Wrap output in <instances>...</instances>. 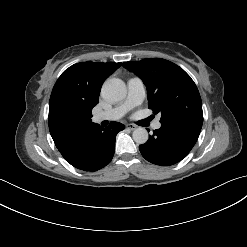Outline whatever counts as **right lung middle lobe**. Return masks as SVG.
Listing matches in <instances>:
<instances>
[{
	"instance_id": "dd1d6c3e",
	"label": "right lung middle lobe",
	"mask_w": 247,
	"mask_h": 247,
	"mask_svg": "<svg viewBox=\"0 0 247 247\" xmlns=\"http://www.w3.org/2000/svg\"><path fill=\"white\" fill-rule=\"evenodd\" d=\"M91 109L88 110H73L66 109L61 112L59 121L60 123L72 130H83L91 123Z\"/></svg>"
}]
</instances>
